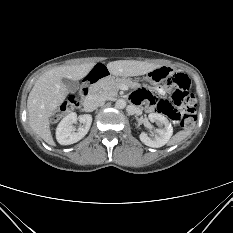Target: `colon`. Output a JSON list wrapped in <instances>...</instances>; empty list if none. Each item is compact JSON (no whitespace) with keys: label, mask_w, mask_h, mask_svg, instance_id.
<instances>
[{"label":"colon","mask_w":233,"mask_h":233,"mask_svg":"<svg viewBox=\"0 0 233 233\" xmlns=\"http://www.w3.org/2000/svg\"><path fill=\"white\" fill-rule=\"evenodd\" d=\"M167 85L175 88L172 95V103L152 98L150 100L151 105L156 111L168 116L182 128L189 129L193 127L196 120V99L188 92L190 86L189 78L182 73H176L168 79ZM82 89L78 93L72 94L62 104L60 111L54 115L53 120H57L65 112L80 107L82 99L85 96L81 92Z\"/></svg>","instance_id":"colon-1"}]
</instances>
